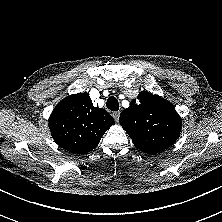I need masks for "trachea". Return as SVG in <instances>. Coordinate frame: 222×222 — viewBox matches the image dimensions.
I'll return each instance as SVG.
<instances>
[{
    "label": "trachea",
    "mask_w": 222,
    "mask_h": 222,
    "mask_svg": "<svg viewBox=\"0 0 222 222\" xmlns=\"http://www.w3.org/2000/svg\"><path fill=\"white\" fill-rule=\"evenodd\" d=\"M106 106L111 111H118L119 110V102L116 97L111 96L108 98L106 102Z\"/></svg>",
    "instance_id": "1"
}]
</instances>
